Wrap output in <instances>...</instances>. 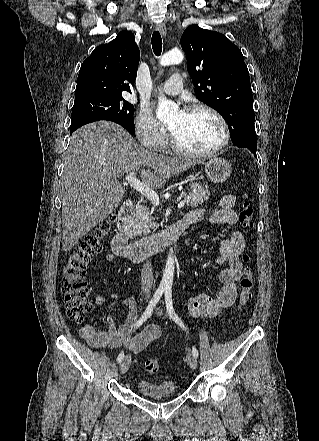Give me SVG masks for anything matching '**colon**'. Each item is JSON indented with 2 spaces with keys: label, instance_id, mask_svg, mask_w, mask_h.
I'll return each instance as SVG.
<instances>
[{
  "label": "colon",
  "instance_id": "1",
  "mask_svg": "<svg viewBox=\"0 0 319 441\" xmlns=\"http://www.w3.org/2000/svg\"><path fill=\"white\" fill-rule=\"evenodd\" d=\"M253 207L248 200V195L243 194L239 204L238 220L245 229H251L253 223ZM110 217L103 221L92 233L88 234L68 255L63 268L62 296L69 319L81 323L91 311L89 290L85 281V271L91 258L98 254L112 229ZM249 257L244 256L248 262ZM253 270L247 266L240 279V295L238 307L241 309L252 299ZM145 368L150 373L158 372L160 363L156 359L147 360Z\"/></svg>",
  "mask_w": 319,
  "mask_h": 441
}]
</instances>
